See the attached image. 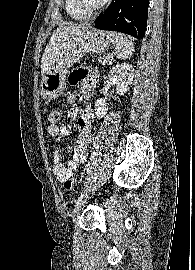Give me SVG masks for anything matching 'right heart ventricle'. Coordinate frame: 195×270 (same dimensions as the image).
I'll return each mask as SVG.
<instances>
[{"mask_svg": "<svg viewBox=\"0 0 195 270\" xmlns=\"http://www.w3.org/2000/svg\"><path fill=\"white\" fill-rule=\"evenodd\" d=\"M65 9L67 14L75 20H84L91 15L79 9L75 0H65Z\"/></svg>", "mask_w": 195, "mask_h": 270, "instance_id": "e07e8e85", "label": "right heart ventricle"}]
</instances>
